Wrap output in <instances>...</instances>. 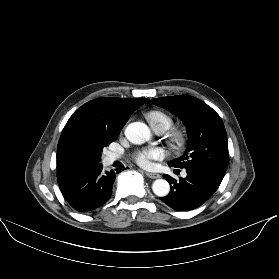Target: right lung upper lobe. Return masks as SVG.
I'll return each instance as SVG.
<instances>
[{
    "label": "right lung upper lobe",
    "mask_w": 279,
    "mask_h": 279,
    "mask_svg": "<svg viewBox=\"0 0 279 279\" xmlns=\"http://www.w3.org/2000/svg\"><path fill=\"white\" fill-rule=\"evenodd\" d=\"M146 98H97L77 109L66 123L57 146V176L72 169L98 164L87 152L97 133L120 134L130 115Z\"/></svg>",
    "instance_id": "right-lung-upper-lobe-1"
}]
</instances>
